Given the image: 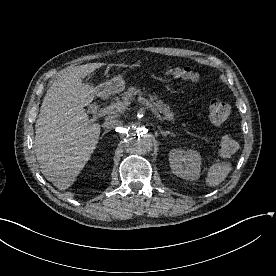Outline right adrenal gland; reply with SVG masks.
Here are the masks:
<instances>
[{
  "instance_id": "right-adrenal-gland-1",
  "label": "right adrenal gland",
  "mask_w": 276,
  "mask_h": 276,
  "mask_svg": "<svg viewBox=\"0 0 276 276\" xmlns=\"http://www.w3.org/2000/svg\"><path fill=\"white\" fill-rule=\"evenodd\" d=\"M107 133H108V131H104V133L102 134V136L105 135V134H107Z\"/></svg>"
}]
</instances>
